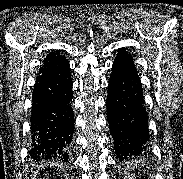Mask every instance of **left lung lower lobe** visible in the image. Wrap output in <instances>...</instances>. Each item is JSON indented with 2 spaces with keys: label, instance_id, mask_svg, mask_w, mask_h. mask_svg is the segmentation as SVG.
<instances>
[{
  "label": "left lung lower lobe",
  "instance_id": "0a47b994",
  "mask_svg": "<svg viewBox=\"0 0 183 179\" xmlns=\"http://www.w3.org/2000/svg\"><path fill=\"white\" fill-rule=\"evenodd\" d=\"M142 85L133 59L123 48L112 66L107 95V120L117 157L138 156L149 140Z\"/></svg>",
  "mask_w": 183,
  "mask_h": 179
}]
</instances>
